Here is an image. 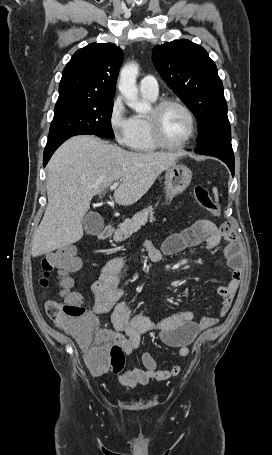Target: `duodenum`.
I'll list each match as a JSON object with an SVG mask.
<instances>
[{
  "mask_svg": "<svg viewBox=\"0 0 272 455\" xmlns=\"http://www.w3.org/2000/svg\"><path fill=\"white\" fill-rule=\"evenodd\" d=\"M113 230H114V227L112 224H107L105 227H103L97 234V237L99 239H106L108 238L109 236H111V234L113 233Z\"/></svg>",
  "mask_w": 272,
  "mask_h": 455,
  "instance_id": "obj_1",
  "label": "duodenum"
}]
</instances>
